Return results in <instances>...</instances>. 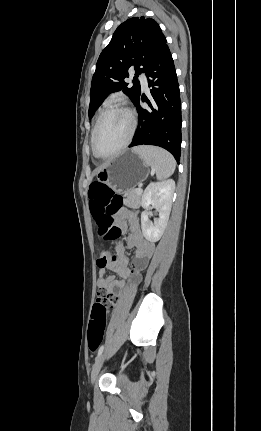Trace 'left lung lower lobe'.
<instances>
[{
	"label": "left lung lower lobe",
	"instance_id": "left-lung-lower-lobe-1",
	"mask_svg": "<svg viewBox=\"0 0 261 431\" xmlns=\"http://www.w3.org/2000/svg\"><path fill=\"white\" fill-rule=\"evenodd\" d=\"M151 101L144 95L138 97V128L129 147L155 145L169 151L177 163L181 153V105L180 91L174 62L166 45L154 58L145 72ZM146 101L149 109L142 108Z\"/></svg>",
	"mask_w": 261,
	"mask_h": 431
}]
</instances>
